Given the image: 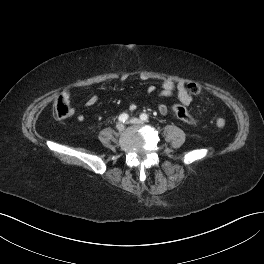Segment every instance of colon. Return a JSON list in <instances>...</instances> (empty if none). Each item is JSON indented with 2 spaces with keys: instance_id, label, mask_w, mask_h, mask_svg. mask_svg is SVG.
<instances>
[{
  "instance_id": "colon-1",
  "label": "colon",
  "mask_w": 264,
  "mask_h": 264,
  "mask_svg": "<svg viewBox=\"0 0 264 264\" xmlns=\"http://www.w3.org/2000/svg\"><path fill=\"white\" fill-rule=\"evenodd\" d=\"M187 91L191 95H199L201 93V87L199 84L192 82L187 85ZM171 110L175 114V116L181 121L189 125H196L195 119L189 114V112L184 106L180 104H173ZM53 114L57 120L66 119L70 115L69 104L62 97H59L55 101L53 107ZM215 123L216 126L219 128H224L226 125V122L223 118H217Z\"/></svg>"
}]
</instances>
